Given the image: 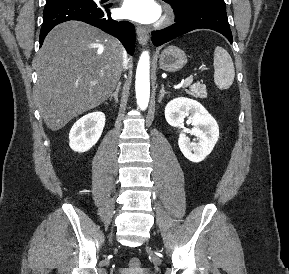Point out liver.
<instances>
[{"mask_svg": "<svg viewBox=\"0 0 289 274\" xmlns=\"http://www.w3.org/2000/svg\"><path fill=\"white\" fill-rule=\"evenodd\" d=\"M123 65L122 47L78 21L56 26L36 58L34 98L47 127L60 130L112 95Z\"/></svg>", "mask_w": 289, "mask_h": 274, "instance_id": "6515ba94", "label": "liver"}]
</instances>
